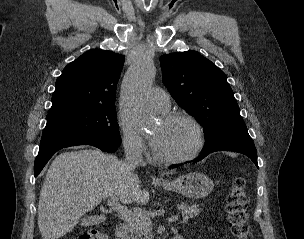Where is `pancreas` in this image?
<instances>
[{
    "label": "pancreas",
    "instance_id": "obj_1",
    "mask_svg": "<svg viewBox=\"0 0 304 239\" xmlns=\"http://www.w3.org/2000/svg\"><path fill=\"white\" fill-rule=\"evenodd\" d=\"M178 207L184 217L183 221H187L200 213L199 205L181 203ZM127 228L130 233V239H153L154 237L151 232L152 225L148 213L143 214L133 222L127 221Z\"/></svg>",
    "mask_w": 304,
    "mask_h": 239
}]
</instances>
